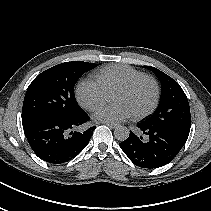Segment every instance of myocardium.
Masks as SVG:
<instances>
[{"label": "myocardium", "mask_w": 211, "mask_h": 211, "mask_svg": "<svg viewBox=\"0 0 211 211\" xmlns=\"http://www.w3.org/2000/svg\"><path fill=\"white\" fill-rule=\"evenodd\" d=\"M144 80H148L152 83V85L154 87V98H153L151 105L148 108H146L142 111L133 113V116L135 118H143L145 116H148L158 106L159 99H160V86H159L157 80L151 75L143 74V75L137 76V77L129 80L128 82L122 84L121 86L116 88L115 91H114V92L128 91L131 88H133L135 85H137L139 82L144 81Z\"/></svg>", "instance_id": "myocardium-1"}]
</instances>
